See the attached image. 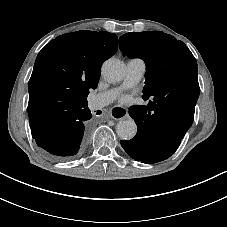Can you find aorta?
Returning <instances> with one entry per match:
<instances>
[{
	"label": "aorta",
	"instance_id": "aorta-1",
	"mask_svg": "<svg viewBox=\"0 0 227 227\" xmlns=\"http://www.w3.org/2000/svg\"><path fill=\"white\" fill-rule=\"evenodd\" d=\"M102 75L111 82H119L125 74L124 64L116 58L107 59L101 69ZM116 132L120 139L131 140L137 132V125L132 119L121 120L116 126Z\"/></svg>",
	"mask_w": 227,
	"mask_h": 227
}]
</instances>
